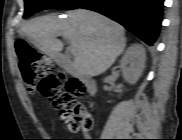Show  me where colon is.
Returning a JSON list of instances; mask_svg holds the SVG:
<instances>
[{
	"instance_id": "1",
	"label": "colon",
	"mask_w": 182,
	"mask_h": 140,
	"mask_svg": "<svg viewBox=\"0 0 182 140\" xmlns=\"http://www.w3.org/2000/svg\"><path fill=\"white\" fill-rule=\"evenodd\" d=\"M15 49L29 93L47 98L61 112L71 131L90 130L93 119L78 101L85 93L83 83L75 78L67 79L62 73L54 74L50 59L26 40H17Z\"/></svg>"
}]
</instances>
